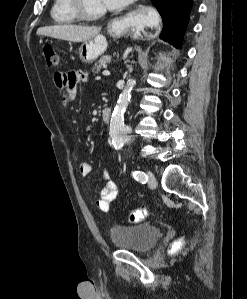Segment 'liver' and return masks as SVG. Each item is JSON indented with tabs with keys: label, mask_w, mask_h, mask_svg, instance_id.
Masks as SVG:
<instances>
[{
	"label": "liver",
	"mask_w": 247,
	"mask_h": 299,
	"mask_svg": "<svg viewBox=\"0 0 247 299\" xmlns=\"http://www.w3.org/2000/svg\"><path fill=\"white\" fill-rule=\"evenodd\" d=\"M100 31L101 28L97 26L54 25L40 27L36 34L71 42H86L98 36Z\"/></svg>",
	"instance_id": "liver-1"
}]
</instances>
